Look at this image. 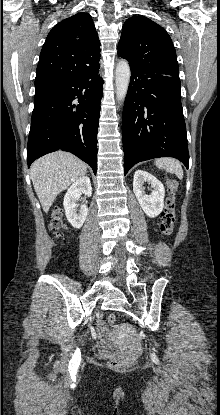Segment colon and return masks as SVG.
Masks as SVG:
<instances>
[{"label": "colon", "mask_w": 220, "mask_h": 415, "mask_svg": "<svg viewBox=\"0 0 220 415\" xmlns=\"http://www.w3.org/2000/svg\"><path fill=\"white\" fill-rule=\"evenodd\" d=\"M165 184L168 191V197L166 200L165 209L162 213L161 222L159 224V230L161 234L168 237L173 232L175 222V196L178 189L176 180L168 178L165 180ZM50 228L54 236L60 238L67 230V226L63 220V214L60 209L54 210L50 222ZM117 316L115 313H110L107 316V323L109 326H114ZM132 361L126 358H115L110 362V366L117 370L127 369L131 366Z\"/></svg>", "instance_id": "1"}]
</instances>
